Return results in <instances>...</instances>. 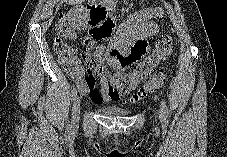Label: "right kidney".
<instances>
[{"mask_svg":"<svg viewBox=\"0 0 227 157\" xmlns=\"http://www.w3.org/2000/svg\"><path fill=\"white\" fill-rule=\"evenodd\" d=\"M83 12H84V9L82 7H78V6L74 7L69 11V14H68L69 21H71L75 25L76 20L80 17V15Z\"/></svg>","mask_w":227,"mask_h":157,"instance_id":"1","label":"right kidney"}]
</instances>
